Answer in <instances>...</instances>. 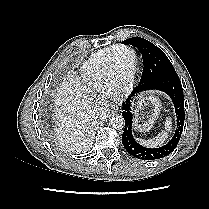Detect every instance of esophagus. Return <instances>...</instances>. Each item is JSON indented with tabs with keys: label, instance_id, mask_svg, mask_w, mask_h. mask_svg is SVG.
<instances>
[{
	"label": "esophagus",
	"instance_id": "obj_1",
	"mask_svg": "<svg viewBox=\"0 0 209 209\" xmlns=\"http://www.w3.org/2000/svg\"><path fill=\"white\" fill-rule=\"evenodd\" d=\"M118 109H119L118 105H116V104L111 105V110L113 113L118 112Z\"/></svg>",
	"mask_w": 209,
	"mask_h": 209
}]
</instances>
